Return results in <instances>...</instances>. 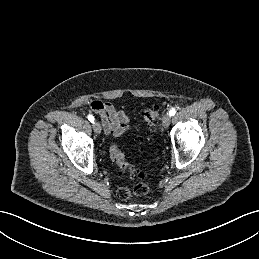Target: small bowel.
<instances>
[{"mask_svg":"<svg viewBox=\"0 0 259 259\" xmlns=\"http://www.w3.org/2000/svg\"><path fill=\"white\" fill-rule=\"evenodd\" d=\"M89 107L97 113L102 122L104 132L120 137L130 127V119L123 110H117L110 102L92 100Z\"/></svg>","mask_w":259,"mask_h":259,"instance_id":"c3829d8e","label":"small bowel"}]
</instances>
